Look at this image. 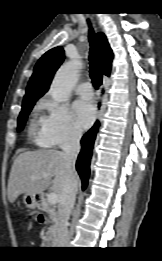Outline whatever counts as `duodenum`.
<instances>
[{"label":"duodenum","instance_id":"410a0bca","mask_svg":"<svg viewBox=\"0 0 162 261\" xmlns=\"http://www.w3.org/2000/svg\"><path fill=\"white\" fill-rule=\"evenodd\" d=\"M35 203H36L37 208L41 209L43 207L44 197L41 194H36ZM42 221H43V216H42Z\"/></svg>","mask_w":162,"mask_h":261}]
</instances>
